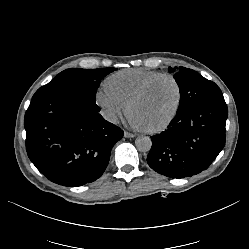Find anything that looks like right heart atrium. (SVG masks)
<instances>
[{"label":"right heart atrium","mask_w":249,"mask_h":249,"mask_svg":"<svg viewBox=\"0 0 249 249\" xmlns=\"http://www.w3.org/2000/svg\"><path fill=\"white\" fill-rule=\"evenodd\" d=\"M95 103L99 107L102 116L111 123H116L123 115L128 103L112 94L107 88H102L95 95Z\"/></svg>","instance_id":"obj_1"}]
</instances>
